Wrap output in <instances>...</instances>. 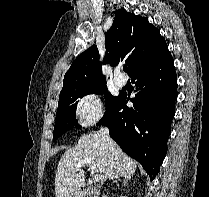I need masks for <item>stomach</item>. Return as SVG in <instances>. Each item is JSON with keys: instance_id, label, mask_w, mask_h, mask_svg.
Listing matches in <instances>:
<instances>
[{"instance_id": "0dacf381", "label": "stomach", "mask_w": 209, "mask_h": 197, "mask_svg": "<svg viewBox=\"0 0 209 197\" xmlns=\"http://www.w3.org/2000/svg\"><path fill=\"white\" fill-rule=\"evenodd\" d=\"M71 197H80L77 192H75Z\"/></svg>"}]
</instances>
